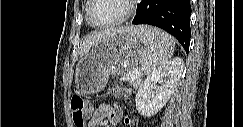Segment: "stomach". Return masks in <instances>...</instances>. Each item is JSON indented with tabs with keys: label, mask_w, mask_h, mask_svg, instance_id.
Returning a JSON list of instances; mask_svg holds the SVG:
<instances>
[{
	"label": "stomach",
	"mask_w": 243,
	"mask_h": 127,
	"mask_svg": "<svg viewBox=\"0 0 243 127\" xmlns=\"http://www.w3.org/2000/svg\"><path fill=\"white\" fill-rule=\"evenodd\" d=\"M138 28L97 41L76 65V88L83 94L102 90L112 74H126L143 63L147 43Z\"/></svg>",
	"instance_id": "stomach-1"
}]
</instances>
